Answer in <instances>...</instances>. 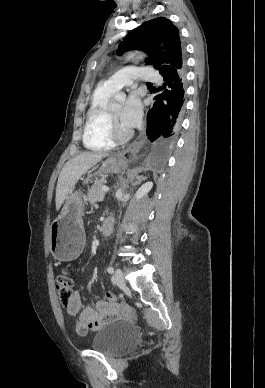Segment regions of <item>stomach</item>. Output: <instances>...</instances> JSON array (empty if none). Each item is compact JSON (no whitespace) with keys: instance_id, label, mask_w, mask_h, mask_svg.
<instances>
[{"instance_id":"1","label":"stomach","mask_w":265,"mask_h":388,"mask_svg":"<svg viewBox=\"0 0 265 388\" xmlns=\"http://www.w3.org/2000/svg\"><path fill=\"white\" fill-rule=\"evenodd\" d=\"M126 160L112 155L102 162L95 175H90L85 184L104 178L108 173H119L124 169ZM86 196L80 190L72 191L67 197L61 215L52 223L50 229V250L60 261L77 258L84 245V231L81 225Z\"/></svg>"}]
</instances>
